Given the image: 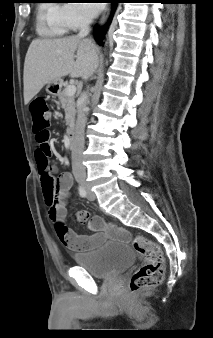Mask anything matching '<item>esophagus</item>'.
<instances>
[{
  "mask_svg": "<svg viewBox=\"0 0 213 338\" xmlns=\"http://www.w3.org/2000/svg\"><path fill=\"white\" fill-rule=\"evenodd\" d=\"M110 10H111V5L110 3H107L106 6H105V9L99 19V22L98 24L102 25L108 18L109 16V13H110Z\"/></svg>",
  "mask_w": 213,
  "mask_h": 338,
  "instance_id": "1",
  "label": "esophagus"
}]
</instances>
